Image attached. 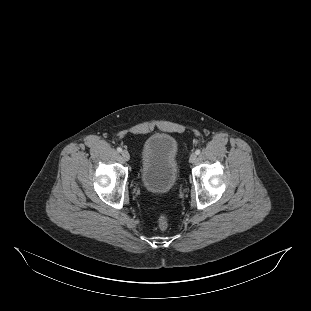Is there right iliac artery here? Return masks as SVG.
<instances>
[{
  "mask_svg": "<svg viewBox=\"0 0 311 311\" xmlns=\"http://www.w3.org/2000/svg\"><path fill=\"white\" fill-rule=\"evenodd\" d=\"M117 151H118V152H122V148L118 147V148H117Z\"/></svg>",
  "mask_w": 311,
  "mask_h": 311,
  "instance_id": "82829eb1",
  "label": "right iliac artery"
}]
</instances>
